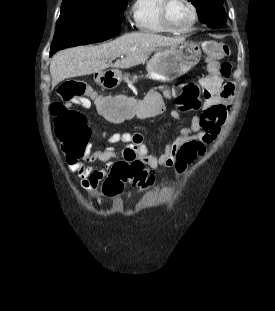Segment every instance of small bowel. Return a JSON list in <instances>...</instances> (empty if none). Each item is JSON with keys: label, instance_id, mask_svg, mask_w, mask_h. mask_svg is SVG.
Here are the masks:
<instances>
[{"label": "small bowel", "instance_id": "1", "mask_svg": "<svg viewBox=\"0 0 275 311\" xmlns=\"http://www.w3.org/2000/svg\"><path fill=\"white\" fill-rule=\"evenodd\" d=\"M201 84L205 96L201 106V115L193 116L188 126L178 127L176 136L166 143L161 155L149 153L141 133L122 131L108 137L109 146L106 148L88 146L79 157H69L67 167L76 175L80 186L89 192H95L101 182L109 176L114 164L119 161L130 163L138 160L150 169L171 167L177 159L181 145L186 140L196 138L203 142H211L219 133L230 111L235 84L224 83L222 77L216 72L206 76ZM77 105L83 108L91 106V104ZM196 110V105H191L187 101L179 102L176 109L171 111V116L176 121H180L182 112H196ZM119 143L126 145L121 155L115 148V145ZM97 163H103V165L96 166Z\"/></svg>", "mask_w": 275, "mask_h": 311}]
</instances>
